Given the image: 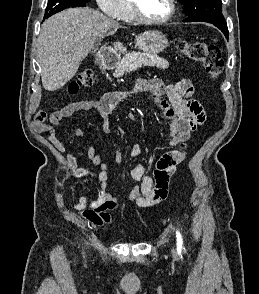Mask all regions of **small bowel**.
<instances>
[{
    "label": "small bowel",
    "mask_w": 259,
    "mask_h": 294,
    "mask_svg": "<svg viewBox=\"0 0 259 294\" xmlns=\"http://www.w3.org/2000/svg\"><path fill=\"white\" fill-rule=\"evenodd\" d=\"M148 91L152 101L161 112L172 131L170 145L177 146L178 150L169 151L160 155L157 160L153 177L147 175L146 167L138 163L130 170L133 180L140 182L127 196L139 207H151L163 201L168 194V185L176 167L186 158V142L191 133L199 126L207 123L208 116L203 105L196 98L192 83L182 79L176 83L165 85L158 78L141 79L128 91H110L98 100H80L71 102L55 109L51 114L40 111L34 118L33 128L38 133H47L49 141L60 151L65 149V143L56 133V126L66 118L80 111L96 110L102 122V129L110 133L109 117L114 113L117 104L125 97L135 93ZM74 135L84 138L81 129H75ZM141 148L134 145L130 149V156L139 158ZM89 161L98 171L77 166L75 154L68 157L71 174L75 178H91L98 182L97 197L93 200L85 196L80 197L73 206L79 213L96 226L109 224L112 221L110 211L118 210L121 199L112 195L108 190L109 165L101 160V155L93 145L87 148Z\"/></svg>",
    "instance_id": "c3829d8e"
}]
</instances>
